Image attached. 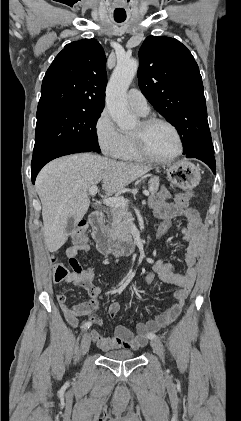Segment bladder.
Returning <instances> with one entry per match:
<instances>
[{
  "label": "bladder",
  "instance_id": "obj_1",
  "mask_svg": "<svg viewBox=\"0 0 241 421\" xmlns=\"http://www.w3.org/2000/svg\"><path fill=\"white\" fill-rule=\"evenodd\" d=\"M104 356L111 360H129L135 357V353L128 350H115L104 353Z\"/></svg>",
  "mask_w": 241,
  "mask_h": 421
}]
</instances>
